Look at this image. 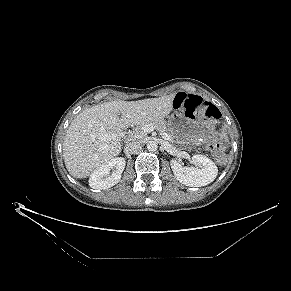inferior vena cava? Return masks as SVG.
Masks as SVG:
<instances>
[{
    "label": "inferior vena cava",
    "mask_w": 291,
    "mask_h": 291,
    "mask_svg": "<svg viewBox=\"0 0 291 291\" xmlns=\"http://www.w3.org/2000/svg\"><path fill=\"white\" fill-rule=\"evenodd\" d=\"M140 148V143L137 141L129 142L124 147L125 154L136 153Z\"/></svg>",
    "instance_id": "inferior-vena-cava-1"
}]
</instances>
